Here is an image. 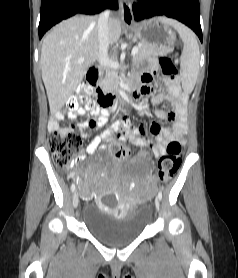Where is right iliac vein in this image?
<instances>
[{"label": "right iliac vein", "instance_id": "obj_1", "mask_svg": "<svg viewBox=\"0 0 238 278\" xmlns=\"http://www.w3.org/2000/svg\"><path fill=\"white\" fill-rule=\"evenodd\" d=\"M79 204V196L78 193L75 192L73 195V206L76 208Z\"/></svg>", "mask_w": 238, "mask_h": 278}]
</instances>
